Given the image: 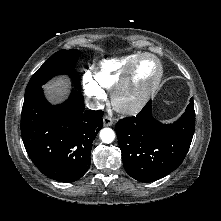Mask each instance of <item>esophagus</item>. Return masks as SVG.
I'll return each mask as SVG.
<instances>
[{
    "instance_id": "esophagus-1",
    "label": "esophagus",
    "mask_w": 221,
    "mask_h": 221,
    "mask_svg": "<svg viewBox=\"0 0 221 221\" xmlns=\"http://www.w3.org/2000/svg\"><path fill=\"white\" fill-rule=\"evenodd\" d=\"M103 123H104V126H112L113 125V119L109 116H105L103 118Z\"/></svg>"
}]
</instances>
